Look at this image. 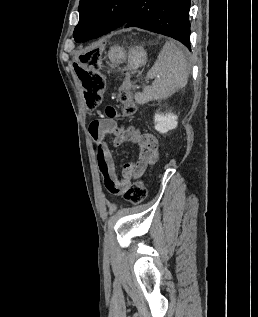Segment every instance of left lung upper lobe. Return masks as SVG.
<instances>
[{"mask_svg": "<svg viewBox=\"0 0 258 317\" xmlns=\"http://www.w3.org/2000/svg\"><path fill=\"white\" fill-rule=\"evenodd\" d=\"M133 2L134 0H80V19L73 33L75 41L79 42L99 27H121Z\"/></svg>", "mask_w": 258, "mask_h": 317, "instance_id": "left-lung-upper-lobe-1", "label": "left lung upper lobe"}]
</instances>
